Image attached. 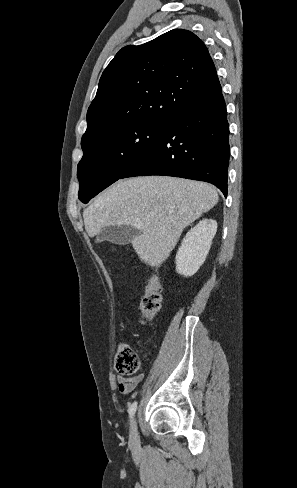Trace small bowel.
<instances>
[{
    "label": "small bowel",
    "instance_id": "c3829d8e",
    "mask_svg": "<svg viewBox=\"0 0 297 488\" xmlns=\"http://www.w3.org/2000/svg\"><path fill=\"white\" fill-rule=\"evenodd\" d=\"M116 382L118 390L122 394H130L132 393L137 385L143 380L144 375L142 373L134 376V377H126L124 375H116Z\"/></svg>",
    "mask_w": 297,
    "mask_h": 488
}]
</instances>
